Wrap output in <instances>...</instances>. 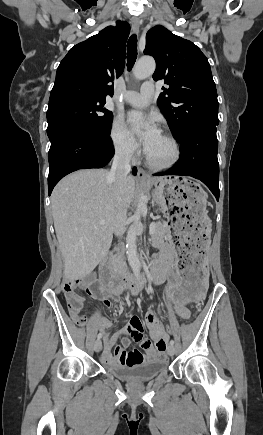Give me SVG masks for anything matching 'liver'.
<instances>
[{
    "mask_svg": "<svg viewBox=\"0 0 263 435\" xmlns=\"http://www.w3.org/2000/svg\"><path fill=\"white\" fill-rule=\"evenodd\" d=\"M108 173L103 169L74 172L52 192L54 227L67 280L89 275L108 252L113 232L124 225L135 194V179L127 176L119 200L114 183L107 179Z\"/></svg>",
    "mask_w": 263,
    "mask_h": 435,
    "instance_id": "liver-1",
    "label": "liver"
}]
</instances>
